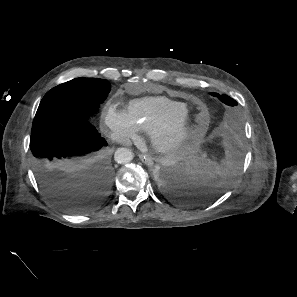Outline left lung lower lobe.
<instances>
[{"label":"left lung lower lobe","instance_id":"1","mask_svg":"<svg viewBox=\"0 0 297 297\" xmlns=\"http://www.w3.org/2000/svg\"><path fill=\"white\" fill-rule=\"evenodd\" d=\"M164 193L184 204L205 203L218 198L229 186L211 173L197 174L183 158L163 166L157 175Z\"/></svg>","mask_w":297,"mask_h":297}]
</instances>
